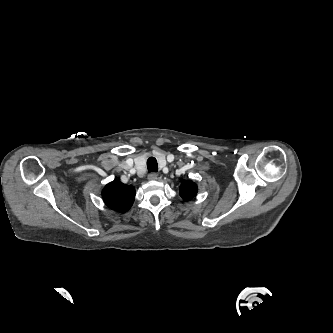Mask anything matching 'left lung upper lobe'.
<instances>
[{
    "label": "left lung upper lobe",
    "instance_id": "5c2ea615",
    "mask_svg": "<svg viewBox=\"0 0 333 333\" xmlns=\"http://www.w3.org/2000/svg\"><path fill=\"white\" fill-rule=\"evenodd\" d=\"M197 185L191 180H183L180 186V196L185 201L191 200L197 194Z\"/></svg>",
    "mask_w": 333,
    "mask_h": 333
}]
</instances>
